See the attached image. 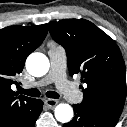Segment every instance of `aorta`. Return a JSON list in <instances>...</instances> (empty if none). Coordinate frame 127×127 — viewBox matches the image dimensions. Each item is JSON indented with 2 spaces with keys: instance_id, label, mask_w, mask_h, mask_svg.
Masks as SVG:
<instances>
[{
  "instance_id": "obj_1",
  "label": "aorta",
  "mask_w": 127,
  "mask_h": 127,
  "mask_svg": "<svg viewBox=\"0 0 127 127\" xmlns=\"http://www.w3.org/2000/svg\"><path fill=\"white\" fill-rule=\"evenodd\" d=\"M50 67L46 55L42 53H32L26 60V69L32 76H44ZM55 118L61 123H67L73 118V109L69 104H58L54 110Z\"/></svg>"
}]
</instances>
